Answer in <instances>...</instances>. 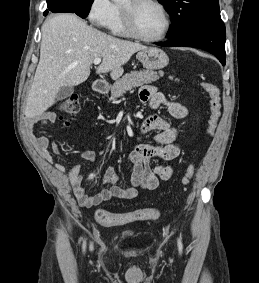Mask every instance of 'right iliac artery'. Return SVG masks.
Returning <instances> with one entry per match:
<instances>
[{"mask_svg": "<svg viewBox=\"0 0 259 283\" xmlns=\"http://www.w3.org/2000/svg\"><path fill=\"white\" fill-rule=\"evenodd\" d=\"M85 250V242L83 243V251Z\"/></svg>", "mask_w": 259, "mask_h": 283, "instance_id": "right-iliac-artery-1", "label": "right iliac artery"}]
</instances>
